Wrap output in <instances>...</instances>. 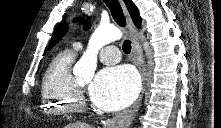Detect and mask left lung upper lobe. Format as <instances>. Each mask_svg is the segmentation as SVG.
<instances>
[{
    "mask_svg": "<svg viewBox=\"0 0 221 128\" xmlns=\"http://www.w3.org/2000/svg\"><path fill=\"white\" fill-rule=\"evenodd\" d=\"M80 20H82V19H80ZM82 23H83V28H84V30H88L89 27H90L89 23H87V22L84 21V20H82Z\"/></svg>",
    "mask_w": 221,
    "mask_h": 128,
    "instance_id": "obj_1",
    "label": "left lung upper lobe"
}]
</instances>
